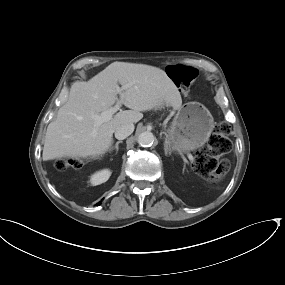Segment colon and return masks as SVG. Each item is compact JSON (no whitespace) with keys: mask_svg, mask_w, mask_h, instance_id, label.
Listing matches in <instances>:
<instances>
[{"mask_svg":"<svg viewBox=\"0 0 285 285\" xmlns=\"http://www.w3.org/2000/svg\"><path fill=\"white\" fill-rule=\"evenodd\" d=\"M167 71L177 84L189 82L193 76V69L181 65H169ZM229 126L225 123L219 124L210 137L206 146L202 147L194 161L195 170L206 180L218 181L222 179L229 170V163L220 159V156L231 150L228 139ZM81 161L78 158H61L56 162L58 170L67 168H80Z\"/></svg>","mask_w":285,"mask_h":285,"instance_id":"colon-1","label":"colon"}]
</instances>
